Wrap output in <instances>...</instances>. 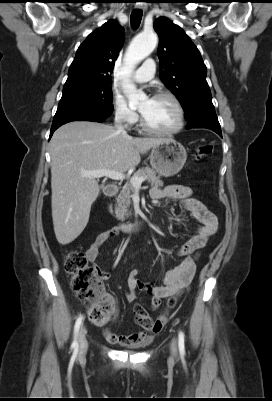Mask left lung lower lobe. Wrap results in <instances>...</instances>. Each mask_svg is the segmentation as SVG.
<instances>
[{"label": "left lung lower lobe", "instance_id": "left-lung-lower-lobe-1", "mask_svg": "<svg viewBox=\"0 0 272 401\" xmlns=\"http://www.w3.org/2000/svg\"><path fill=\"white\" fill-rule=\"evenodd\" d=\"M187 129L191 128H208L216 132L222 137L221 127L218 122L216 113L196 115L188 120Z\"/></svg>", "mask_w": 272, "mask_h": 401}]
</instances>
